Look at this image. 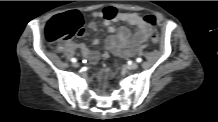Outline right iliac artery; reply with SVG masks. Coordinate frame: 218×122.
<instances>
[{
    "label": "right iliac artery",
    "instance_id": "1",
    "mask_svg": "<svg viewBox=\"0 0 218 122\" xmlns=\"http://www.w3.org/2000/svg\"><path fill=\"white\" fill-rule=\"evenodd\" d=\"M71 61H72L73 63H75L77 60H76L75 58H72Z\"/></svg>",
    "mask_w": 218,
    "mask_h": 122
}]
</instances>
